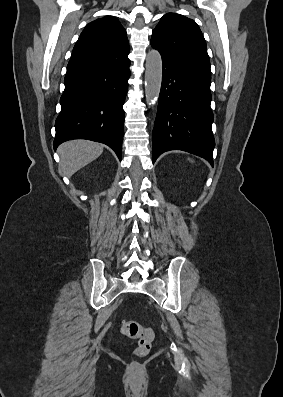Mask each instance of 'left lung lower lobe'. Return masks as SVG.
Wrapping results in <instances>:
<instances>
[{
    "label": "left lung lower lobe",
    "instance_id": "1",
    "mask_svg": "<svg viewBox=\"0 0 283 397\" xmlns=\"http://www.w3.org/2000/svg\"><path fill=\"white\" fill-rule=\"evenodd\" d=\"M162 62V86L152 133L153 163L165 151L183 150L213 166L211 83L163 56Z\"/></svg>",
    "mask_w": 283,
    "mask_h": 397
}]
</instances>
